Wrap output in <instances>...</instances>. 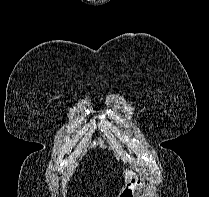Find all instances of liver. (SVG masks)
Listing matches in <instances>:
<instances>
[{
    "label": "liver",
    "instance_id": "1",
    "mask_svg": "<svg viewBox=\"0 0 209 197\" xmlns=\"http://www.w3.org/2000/svg\"><path fill=\"white\" fill-rule=\"evenodd\" d=\"M135 175V173L134 172H132V171H127V170H125L124 171V178H125V182H127L130 178H132L133 176Z\"/></svg>",
    "mask_w": 209,
    "mask_h": 197
}]
</instances>
